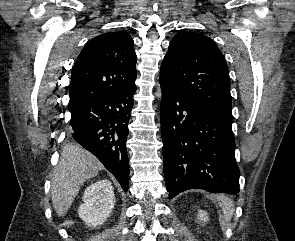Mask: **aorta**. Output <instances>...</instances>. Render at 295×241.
<instances>
[{
    "label": "aorta",
    "mask_w": 295,
    "mask_h": 241,
    "mask_svg": "<svg viewBox=\"0 0 295 241\" xmlns=\"http://www.w3.org/2000/svg\"><path fill=\"white\" fill-rule=\"evenodd\" d=\"M156 96H157L158 98H161V96H162V92H161V87H160V85H158L157 92H156Z\"/></svg>",
    "instance_id": "obj_1"
}]
</instances>
